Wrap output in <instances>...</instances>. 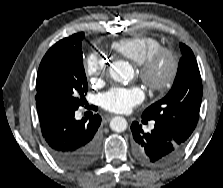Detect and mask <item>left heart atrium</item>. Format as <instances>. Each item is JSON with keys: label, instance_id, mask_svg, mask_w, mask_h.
Wrapping results in <instances>:
<instances>
[{"label": "left heart atrium", "instance_id": "39dd6f15", "mask_svg": "<svg viewBox=\"0 0 223 188\" xmlns=\"http://www.w3.org/2000/svg\"><path fill=\"white\" fill-rule=\"evenodd\" d=\"M145 94L140 87H114L100 96L101 106L113 113H126L140 104Z\"/></svg>", "mask_w": 223, "mask_h": 188}]
</instances>
